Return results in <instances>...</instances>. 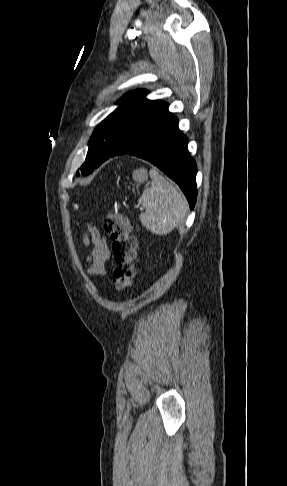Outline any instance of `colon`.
<instances>
[{"label":"colon","mask_w":287,"mask_h":486,"mask_svg":"<svg viewBox=\"0 0 287 486\" xmlns=\"http://www.w3.org/2000/svg\"><path fill=\"white\" fill-rule=\"evenodd\" d=\"M103 227L112 241L114 256L112 283L117 290H124L135 276L134 260L137 241L131 234L128 220L120 214H108L103 219Z\"/></svg>","instance_id":"obj_1"}]
</instances>
